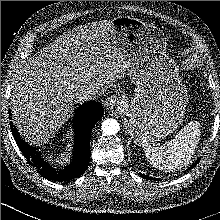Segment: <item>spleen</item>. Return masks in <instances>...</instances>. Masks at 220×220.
Returning a JSON list of instances; mask_svg holds the SVG:
<instances>
[{"label":"spleen","instance_id":"spleen-1","mask_svg":"<svg viewBox=\"0 0 220 220\" xmlns=\"http://www.w3.org/2000/svg\"><path fill=\"white\" fill-rule=\"evenodd\" d=\"M200 124L190 121L170 142L162 146L143 145L145 155L154 167L176 171L186 166L195 153L200 140Z\"/></svg>","mask_w":220,"mask_h":220}]
</instances>
